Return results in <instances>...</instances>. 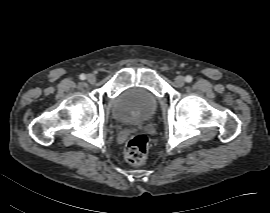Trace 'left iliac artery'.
<instances>
[{
	"mask_svg": "<svg viewBox=\"0 0 270 213\" xmlns=\"http://www.w3.org/2000/svg\"><path fill=\"white\" fill-rule=\"evenodd\" d=\"M185 81L190 83L192 81V77L191 76H186Z\"/></svg>",
	"mask_w": 270,
	"mask_h": 213,
	"instance_id": "left-iliac-artery-1",
	"label": "left iliac artery"
}]
</instances>
